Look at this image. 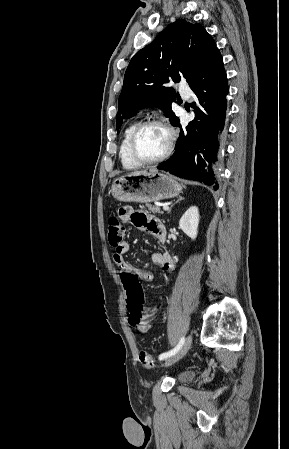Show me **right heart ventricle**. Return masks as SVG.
Masks as SVG:
<instances>
[{
  "label": "right heart ventricle",
  "mask_w": 289,
  "mask_h": 449,
  "mask_svg": "<svg viewBox=\"0 0 289 449\" xmlns=\"http://www.w3.org/2000/svg\"><path fill=\"white\" fill-rule=\"evenodd\" d=\"M137 125V122H132L126 127L120 144L119 156L121 159V163L125 169H136L140 166V164L132 159L129 151V140L133 130Z\"/></svg>",
  "instance_id": "1"
}]
</instances>
